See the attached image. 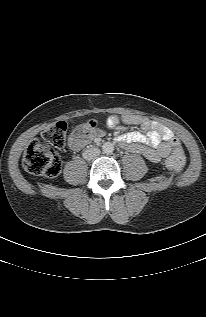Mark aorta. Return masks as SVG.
Listing matches in <instances>:
<instances>
[{
	"instance_id": "1",
	"label": "aorta",
	"mask_w": 206,
	"mask_h": 317,
	"mask_svg": "<svg viewBox=\"0 0 206 317\" xmlns=\"http://www.w3.org/2000/svg\"><path fill=\"white\" fill-rule=\"evenodd\" d=\"M102 150L105 154H111L114 151V145L111 142H106L103 144Z\"/></svg>"
}]
</instances>
